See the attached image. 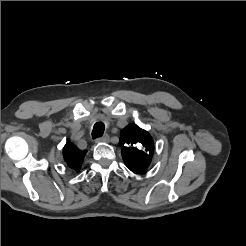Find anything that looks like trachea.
<instances>
[{
    "label": "trachea",
    "mask_w": 246,
    "mask_h": 246,
    "mask_svg": "<svg viewBox=\"0 0 246 246\" xmlns=\"http://www.w3.org/2000/svg\"><path fill=\"white\" fill-rule=\"evenodd\" d=\"M104 130H105L104 123L103 122H96L94 124V127H93L92 138L95 139V138L101 137L104 133Z\"/></svg>",
    "instance_id": "3493384b"
}]
</instances>
